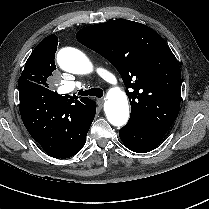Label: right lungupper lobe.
Segmentation results:
<instances>
[{"label":"right lung upper lobe","instance_id":"1","mask_svg":"<svg viewBox=\"0 0 209 209\" xmlns=\"http://www.w3.org/2000/svg\"><path fill=\"white\" fill-rule=\"evenodd\" d=\"M57 45L58 38L50 35L44 38L35 50L46 46L57 50ZM54 98L64 106L65 110L55 119L54 125L68 128L76 138L87 133L95 117L96 103L86 97L67 99L56 92Z\"/></svg>","mask_w":209,"mask_h":209}]
</instances>
